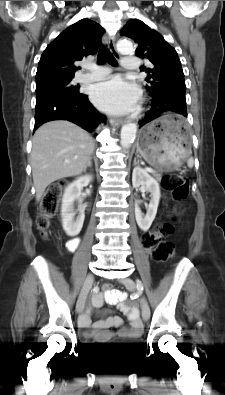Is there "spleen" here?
Instances as JSON below:
<instances>
[{
  "label": "spleen",
  "instance_id": "1",
  "mask_svg": "<svg viewBox=\"0 0 225 395\" xmlns=\"http://www.w3.org/2000/svg\"><path fill=\"white\" fill-rule=\"evenodd\" d=\"M187 164H188L189 167H192L193 164H194L193 158H189Z\"/></svg>",
  "mask_w": 225,
  "mask_h": 395
}]
</instances>
